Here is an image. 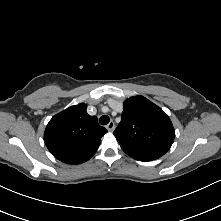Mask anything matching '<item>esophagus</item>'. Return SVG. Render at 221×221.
Segmentation results:
<instances>
[{"instance_id": "34e87169", "label": "esophagus", "mask_w": 221, "mask_h": 221, "mask_svg": "<svg viewBox=\"0 0 221 221\" xmlns=\"http://www.w3.org/2000/svg\"><path fill=\"white\" fill-rule=\"evenodd\" d=\"M107 130L109 132H112L115 129V123L113 121H110L107 126H106Z\"/></svg>"}]
</instances>
